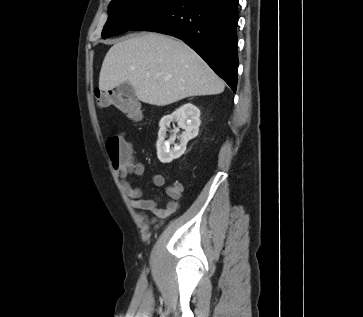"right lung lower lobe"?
<instances>
[{
	"mask_svg": "<svg viewBox=\"0 0 363 317\" xmlns=\"http://www.w3.org/2000/svg\"><path fill=\"white\" fill-rule=\"evenodd\" d=\"M238 0H177L132 30L183 40L236 92Z\"/></svg>",
	"mask_w": 363,
	"mask_h": 317,
	"instance_id": "98d812e1",
	"label": "right lung lower lobe"
}]
</instances>
